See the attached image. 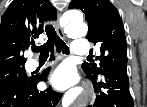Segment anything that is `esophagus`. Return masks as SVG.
Returning a JSON list of instances; mask_svg holds the SVG:
<instances>
[{
	"mask_svg": "<svg viewBox=\"0 0 147 107\" xmlns=\"http://www.w3.org/2000/svg\"><path fill=\"white\" fill-rule=\"evenodd\" d=\"M54 25H55V29L58 33V35L62 38V39H67L64 31H63V28L60 24V16L57 17V19L55 20L54 22ZM87 91L89 92L90 94V101L93 102L94 101V94H93V90L92 88L89 86L87 87Z\"/></svg>",
	"mask_w": 147,
	"mask_h": 107,
	"instance_id": "1",
	"label": "esophagus"
}]
</instances>
